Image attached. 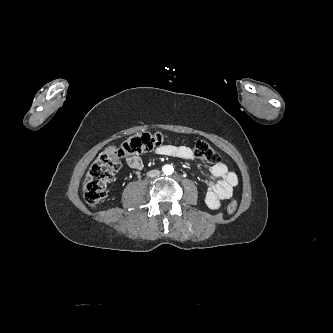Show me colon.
<instances>
[{
	"label": "colon",
	"mask_w": 333,
	"mask_h": 333,
	"mask_svg": "<svg viewBox=\"0 0 333 333\" xmlns=\"http://www.w3.org/2000/svg\"><path fill=\"white\" fill-rule=\"evenodd\" d=\"M164 141L160 133L142 132L128 137L120 146L106 148L90 167L84 183L83 195L86 202L92 206L98 205L106 196L109 179L120 167L123 158L136 156L150 151ZM194 155L204 163L216 164L220 157L205 141H197ZM237 202L231 200L227 205L229 214L235 213Z\"/></svg>",
	"instance_id": "obj_1"
}]
</instances>
